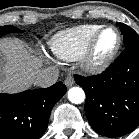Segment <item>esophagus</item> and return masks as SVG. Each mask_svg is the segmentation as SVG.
I'll list each match as a JSON object with an SVG mask.
<instances>
[{"instance_id":"obj_1","label":"esophagus","mask_w":139,"mask_h":139,"mask_svg":"<svg viewBox=\"0 0 139 139\" xmlns=\"http://www.w3.org/2000/svg\"><path fill=\"white\" fill-rule=\"evenodd\" d=\"M74 84V78L72 75H68L65 79V85L71 87Z\"/></svg>"}]
</instances>
